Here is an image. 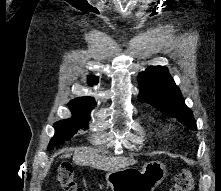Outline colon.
Segmentation results:
<instances>
[{
  "mask_svg": "<svg viewBox=\"0 0 221 191\" xmlns=\"http://www.w3.org/2000/svg\"><path fill=\"white\" fill-rule=\"evenodd\" d=\"M57 181L62 191H84L75 180L73 168L69 162H64L59 166ZM193 187L192 174L188 170H183L175 176L169 191H192Z\"/></svg>",
  "mask_w": 221,
  "mask_h": 191,
  "instance_id": "obj_1",
  "label": "colon"
}]
</instances>
